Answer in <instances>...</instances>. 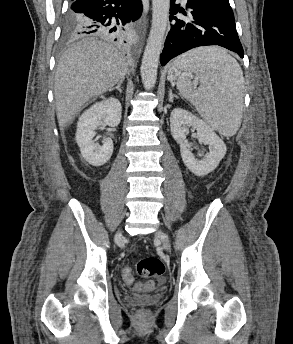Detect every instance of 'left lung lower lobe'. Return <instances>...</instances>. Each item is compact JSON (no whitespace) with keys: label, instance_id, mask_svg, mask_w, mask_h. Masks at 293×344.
Listing matches in <instances>:
<instances>
[{"label":"left lung lower lobe","instance_id":"left-lung-lower-lobe-1","mask_svg":"<svg viewBox=\"0 0 293 344\" xmlns=\"http://www.w3.org/2000/svg\"><path fill=\"white\" fill-rule=\"evenodd\" d=\"M170 4L171 29L160 56L161 65L192 48L208 45H219L244 56L239 40L234 15L224 9L215 0H188L187 8L191 20L183 21L173 15L177 12L186 15L184 9Z\"/></svg>","mask_w":293,"mask_h":344}]
</instances>
